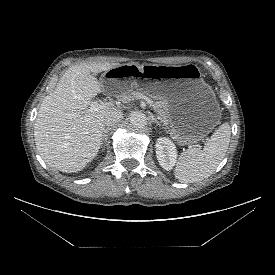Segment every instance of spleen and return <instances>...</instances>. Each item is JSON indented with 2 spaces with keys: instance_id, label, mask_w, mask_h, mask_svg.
Wrapping results in <instances>:
<instances>
[{
  "instance_id": "spleen-1",
  "label": "spleen",
  "mask_w": 275,
  "mask_h": 275,
  "mask_svg": "<svg viewBox=\"0 0 275 275\" xmlns=\"http://www.w3.org/2000/svg\"><path fill=\"white\" fill-rule=\"evenodd\" d=\"M231 136L228 123L212 134L202 150L188 149L181 153L174 176L181 183H195L211 176L224 158Z\"/></svg>"
}]
</instances>
